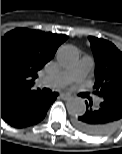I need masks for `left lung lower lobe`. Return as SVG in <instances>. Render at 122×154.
I'll use <instances>...</instances> for the list:
<instances>
[{
    "instance_id": "1",
    "label": "left lung lower lobe",
    "mask_w": 122,
    "mask_h": 154,
    "mask_svg": "<svg viewBox=\"0 0 122 154\" xmlns=\"http://www.w3.org/2000/svg\"><path fill=\"white\" fill-rule=\"evenodd\" d=\"M89 105L86 112L74 120V126L86 134H106L122 120V91L105 95L97 107Z\"/></svg>"
}]
</instances>
